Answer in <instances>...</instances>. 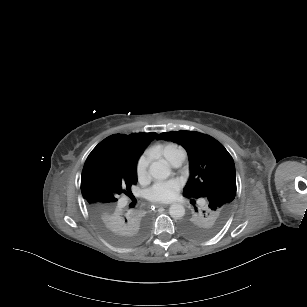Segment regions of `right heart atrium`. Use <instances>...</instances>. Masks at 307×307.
Masks as SVG:
<instances>
[{
    "label": "right heart atrium",
    "mask_w": 307,
    "mask_h": 307,
    "mask_svg": "<svg viewBox=\"0 0 307 307\" xmlns=\"http://www.w3.org/2000/svg\"><path fill=\"white\" fill-rule=\"evenodd\" d=\"M143 170H144V165H143V162L140 161L139 164H138V171L142 172Z\"/></svg>",
    "instance_id": "right-heart-atrium-1"
}]
</instances>
